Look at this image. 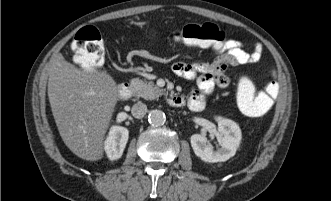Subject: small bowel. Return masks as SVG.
<instances>
[{
  "label": "small bowel",
  "instance_id": "1",
  "mask_svg": "<svg viewBox=\"0 0 331 201\" xmlns=\"http://www.w3.org/2000/svg\"><path fill=\"white\" fill-rule=\"evenodd\" d=\"M261 54L260 43H256L253 50L247 52L239 41L231 39L226 41L221 49L215 50V58L212 62H176L173 65L176 75L196 81V88L187 99L189 109L195 112L202 111L205 107L206 95L211 94L216 87L229 86L230 79L225 74L228 66L255 63L260 59Z\"/></svg>",
  "mask_w": 331,
  "mask_h": 201
}]
</instances>
